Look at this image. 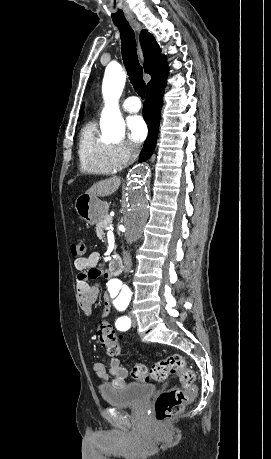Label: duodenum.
<instances>
[{"label":"duodenum","mask_w":271,"mask_h":459,"mask_svg":"<svg viewBox=\"0 0 271 459\" xmlns=\"http://www.w3.org/2000/svg\"><path fill=\"white\" fill-rule=\"evenodd\" d=\"M122 270H123L122 260L117 257L113 258L109 266L110 273L113 276H118L119 274H121Z\"/></svg>","instance_id":"410a0bca"}]
</instances>
